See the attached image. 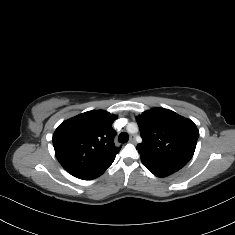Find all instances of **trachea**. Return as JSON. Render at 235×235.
Returning <instances> with one entry per match:
<instances>
[{"instance_id":"1","label":"trachea","mask_w":235,"mask_h":235,"mask_svg":"<svg viewBox=\"0 0 235 235\" xmlns=\"http://www.w3.org/2000/svg\"><path fill=\"white\" fill-rule=\"evenodd\" d=\"M118 140L120 143H126L129 140V136L127 133L122 132L119 137Z\"/></svg>"}]
</instances>
